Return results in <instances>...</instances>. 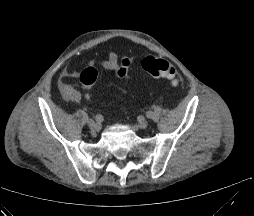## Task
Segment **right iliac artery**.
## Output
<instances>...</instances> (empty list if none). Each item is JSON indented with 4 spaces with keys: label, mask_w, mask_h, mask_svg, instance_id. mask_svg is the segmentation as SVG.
I'll return each mask as SVG.
<instances>
[{
    "label": "right iliac artery",
    "mask_w": 254,
    "mask_h": 216,
    "mask_svg": "<svg viewBox=\"0 0 254 216\" xmlns=\"http://www.w3.org/2000/svg\"><path fill=\"white\" fill-rule=\"evenodd\" d=\"M95 120L98 123H102L104 119H103V116L101 114H97L96 117H95Z\"/></svg>",
    "instance_id": "right-iliac-artery-1"
}]
</instances>
